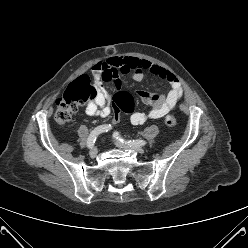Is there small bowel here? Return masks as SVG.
Masks as SVG:
<instances>
[{"label": "small bowel", "instance_id": "c3829d8e", "mask_svg": "<svg viewBox=\"0 0 248 248\" xmlns=\"http://www.w3.org/2000/svg\"><path fill=\"white\" fill-rule=\"evenodd\" d=\"M95 78L97 97L91 101L85 113L89 117L106 118L110 114V95L104 90V81L115 80L117 87L121 85L119 74H129L137 82H142L146 74H151L169 83L170 89L163 94H151L137 91L138 98L151 106L148 112H135L130 117L134 125L143 124L148 119H160L170 112L182 98L184 89L181 80L171 71L147 60L134 57L116 56L95 64L92 68Z\"/></svg>", "mask_w": 248, "mask_h": 248}]
</instances>
